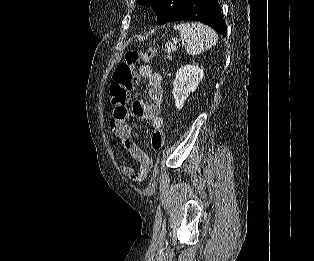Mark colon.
I'll list each match as a JSON object with an SVG mask.
<instances>
[{
  "label": "colon",
  "mask_w": 314,
  "mask_h": 261,
  "mask_svg": "<svg viewBox=\"0 0 314 261\" xmlns=\"http://www.w3.org/2000/svg\"><path fill=\"white\" fill-rule=\"evenodd\" d=\"M156 55V49L149 47L146 50L130 49L125 53V60L119 63L112 75L110 84L111 103L124 105L129 99L130 91L136 85L135 66L140 62L150 61ZM164 130L157 128L151 136L153 150L159 151L164 145Z\"/></svg>",
  "instance_id": "5ec220e1"
}]
</instances>
